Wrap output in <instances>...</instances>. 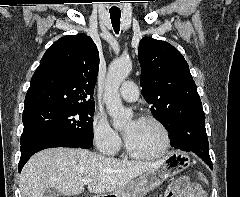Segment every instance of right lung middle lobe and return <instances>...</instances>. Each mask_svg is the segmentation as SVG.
<instances>
[{
  "instance_id": "obj_1",
  "label": "right lung middle lobe",
  "mask_w": 240,
  "mask_h": 197,
  "mask_svg": "<svg viewBox=\"0 0 240 197\" xmlns=\"http://www.w3.org/2000/svg\"><path fill=\"white\" fill-rule=\"evenodd\" d=\"M94 105H46L23 112L24 130L29 134H51L81 148L92 146Z\"/></svg>"
}]
</instances>
